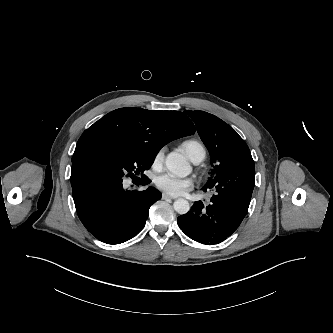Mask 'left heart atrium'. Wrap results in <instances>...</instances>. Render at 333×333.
Masks as SVG:
<instances>
[{"instance_id":"left-heart-atrium-1","label":"left heart atrium","mask_w":333,"mask_h":333,"mask_svg":"<svg viewBox=\"0 0 333 333\" xmlns=\"http://www.w3.org/2000/svg\"><path fill=\"white\" fill-rule=\"evenodd\" d=\"M154 184L159 190L172 197L183 195L193 187L191 178H180L169 173L156 176Z\"/></svg>"}]
</instances>
